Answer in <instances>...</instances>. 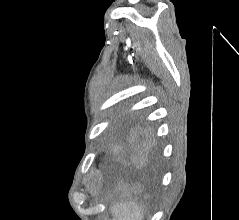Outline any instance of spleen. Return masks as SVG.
Returning a JSON list of instances; mask_svg holds the SVG:
<instances>
[{"label": "spleen", "mask_w": 239, "mask_h": 220, "mask_svg": "<svg viewBox=\"0 0 239 220\" xmlns=\"http://www.w3.org/2000/svg\"><path fill=\"white\" fill-rule=\"evenodd\" d=\"M113 216L118 220H143V209L135 202L116 203L112 207Z\"/></svg>", "instance_id": "obj_1"}]
</instances>
